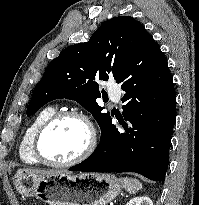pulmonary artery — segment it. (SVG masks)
<instances>
[{
    "mask_svg": "<svg viewBox=\"0 0 199 205\" xmlns=\"http://www.w3.org/2000/svg\"><path fill=\"white\" fill-rule=\"evenodd\" d=\"M109 94L115 103L120 101L121 90L119 88H109Z\"/></svg>",
    "mask_w": 199,
    "mask_h": 205,
    "instance_id": "obj_1",
    "label": "pulmonary artery"
}]
</instances>
